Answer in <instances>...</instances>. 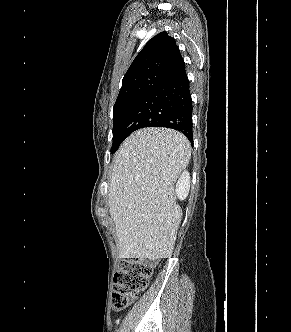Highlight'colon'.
<instances>
[{
	"instance_id": "5ec220e1",
	"label": "colon",
	"mask_w": 291,
	"mask_h": 332,
	"mask_svg": "<svg viewBox=\"0 0 291 332\" xmlns=\"http://www.w3.org/2000/svg\"><path fill=\"white\" fill-rule=\"evenodd\" d=\"M153 267L138 259H124L114 277L112 305L116 310L126 308L143 291Z\"/></svg>"
}]
</instances>
